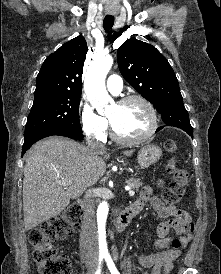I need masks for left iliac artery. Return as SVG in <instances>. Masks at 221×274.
Instances as JSON below:
<instances>
[{
	"mask_svg": "<svg viewBox=\"0 0 221 274\" xmlns=\"http://www.w3.org/2000/svg\"><path fill=\"white\" fill-rule=\"evenodd\" d=\"M105 261L107 263V266L111 272V274H120L119 271L117 270L111 256L109 254L105 255Z\"/></svg>",
	"mask_w": 221,
	"mask_h": 274,
	"instance_id": "1",
	"label": "left iliac artery"
}]
</instances>
